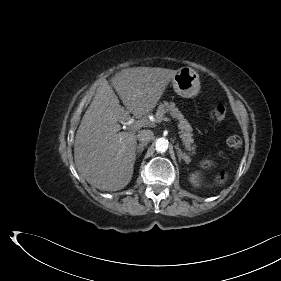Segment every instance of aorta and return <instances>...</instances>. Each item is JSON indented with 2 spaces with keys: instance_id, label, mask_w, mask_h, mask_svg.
<instances>
[{
  "instance_id": "1",
  "label": "aorta",
  "mask_w": 281,
  "mask_h": 281,
  "mask_svg": "<svg viewBox=\"0 0 281 281\" xmlns=\"http://www.w3.org/2000/svg\"><path fill=\"white\" fill-rule=\"evenodd\" d=\"M168 140L165 138H158L155 143L156 150L158 152H165L168 149Z\"/></svg>"
}]
</instances>
